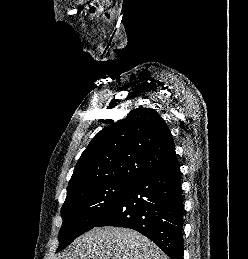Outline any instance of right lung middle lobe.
<instances>
[{"label": "right lung middle lobe", "instance_id": "1", "mask_svg": "<svg viewBox=\"0 0 248 259\" xmlns=\"http://www.w3.org/2000/svg\"><path fill=\"white\" fill-rule=\"evenodd\" d=\"M132 182L112 180L89 184L67 191L61 208L63 225L57 251L95 227L119 202Z\"/></svg>", "mask_w": 248, "mask_h": 259}]
</instances>
